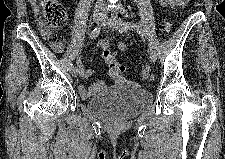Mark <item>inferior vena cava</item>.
Returning <instances> with one entry per match:
<instances>
[{
  "instance_id": "inferior-vena-cava-1",
  "label": "inferior vena cava",
  "mask_w": 225,
  "mask_h": 159,
  "mask_svg": "<svg viewBox=\"0 0 225 159\" xmlns=\"http://www.w3.org/2000/svg\"><path fill=\"white\" fill-rule=\"evenodd\" d=\"M96 4H97L98 6H104V5H105V1H104V0H98V1L96 2Z\"/></svg>"
}]
</instances>
